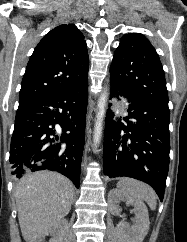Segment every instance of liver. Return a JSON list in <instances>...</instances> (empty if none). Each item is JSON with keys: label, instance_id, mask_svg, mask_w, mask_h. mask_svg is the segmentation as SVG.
Instances as JSON below:
<instances>
[{"label": "liver", "instance_id": "liver-1", "mask_svg": "<svg viewBox=\"0 0 187 242\" xmlns=\"http://www.w3.org/2000/svg\"><path fill=\"white\" fill-rule=\"evenodd\" d=\"M73 197V184L58 173L40 171L21 178L15 198L24 240L35 242L40 234L64 218Z\"/></svg>", "mask_w": 187, "mask_h": 242}]
</instances>
